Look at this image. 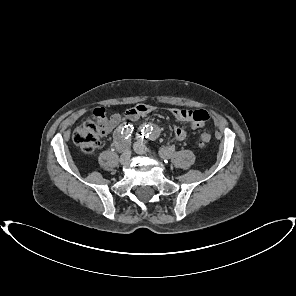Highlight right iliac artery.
Masks as SVG:
<instances>
[{
    "instance_id": "obj_1",
    "label": "right iliac artery",
    "mask_w": 296,
    "mask_h": 296,
    "mask_svg": "<svg viewBox=\"0 0 296 296\" xmlns=\"http://www.w3.org/2000/svg\"><path fill=\"white\" fill-rule=\"evenodd\" d=\"M133 126L128 124L122 127H119L118 131H117V135H116V144H117V148L119 151H124V139L126 138V135L128 133H132L133 132Z\"/></svg>"
}]
</instances>
